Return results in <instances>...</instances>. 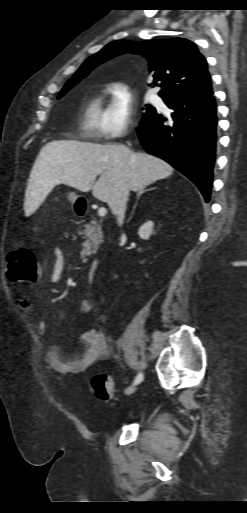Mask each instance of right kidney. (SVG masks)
<instances>
[{
	"mask_svg": "<svg viewBox=\"0 0 247 513\" xmlns=\"http://www.w3.org/2000/svg\"><path fill=\"white\" fill-rule=\"evenodd\" d=\"M153 225L154 223L152 221H148L145 224H143L138 230V235L140 236V238L148 240L150 235L152 234Z\"/></svg>",
	"mask_w": 247,
	"mask_h": 513,
	"instance_id": "1",
	"label": "right kidney"
}]
</instances>
